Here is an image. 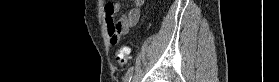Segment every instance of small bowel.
I'll return each instance as SVG.
<instances>
[{
    "instance_id": "1",
    "label": "small bowel",
    "mask_w": 279,
    "mask_h": 82,
    "mask_svg": "<svg viewBox=\"0 0 279 82\" xmlns=\"http://www.w3.org/2000/svg\"><path fill=\"white\" fill-rule=\"evenodd\" d=\"M143 2V0H133L134 7L127 14L122 15L118 22H114L113 17L119 11V3L115 2L105 6V18L110 44L117 45L122 35L127 34L132 27L137 25L140 18V7L143 5Z\"/></svg>"
}]
</instances>
